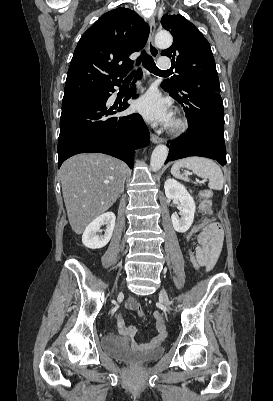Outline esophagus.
<instances>
[{
  "instance_id": "obj_1",
  "label": "esophagus",
  "mask_w": 273,
  "mask_h": 401,
  "mask_svg": "<svg viewBox=\"0 0 273 401\" xmlns=\"http://www.w3.org/2000/svg\"><path fill=\"white\" fill-rule=\"evenodd\" d=\"M149 25H150V33H149V38H148V53L151 57L157 58L159 55V50L154 44V35H155L156 25H155V20L153 17L150 18ZM150 137H151V140L153 143H162L164 141L163 138H160L159 136L155 135L154 133H151Z\"/></svg>"
}]
</instances>
